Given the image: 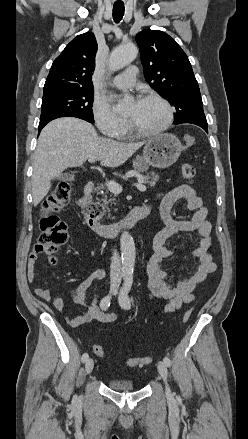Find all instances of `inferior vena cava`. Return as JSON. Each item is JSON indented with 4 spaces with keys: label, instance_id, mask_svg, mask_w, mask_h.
Returning <instances> with one entry per match:
<instances>
[{
    "label": "inferior vena cava",
    "instance_id": "obj_1",
    "mask_svg": "<svg viewBox=\"0 0 248 439\" xmlns=\"http://www.w3.org/2000/svg\"><path fill=\"white\" fill-rule=\"evenodd\" d=\"M110 279L111 283L114 285H119L121 282V261L120 256L117 250L113 251L112 257H111V264H110Z\"/></svg>",
    "mask_w": 248,
    "mask_h": 439
}]
</instances>
